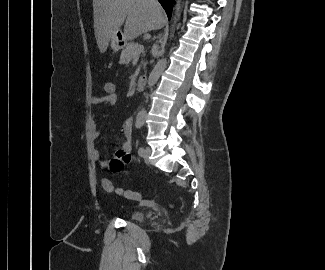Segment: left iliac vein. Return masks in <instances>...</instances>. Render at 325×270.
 Segmentation results:
<instances>
[{"label":"left iliac vein","mask_w":325,"mask_h":270,"mask_svg":"<svg viewBox=\"0 0 325 270\" xmlns=\"http://www.w3.org/2000/svg\"><path fill=\"white\" fill-rule=\"evenodd\" d=\"M151 154L150 147H145L143 154L141 155L145 161H148L149 155Z\"/></svg>","instance_id":"obj_1"}]
</instances>
